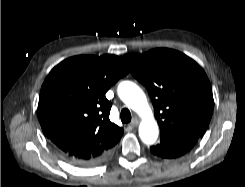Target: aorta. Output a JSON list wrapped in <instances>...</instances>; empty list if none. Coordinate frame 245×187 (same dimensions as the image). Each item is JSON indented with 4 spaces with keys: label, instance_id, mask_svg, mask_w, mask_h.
I'll return each instance as SVG.
<instances>
[{
    "label": "aorta",
    "instance_id": "aorta-1",
    "mask_svg": "<svg viewBox=\"0 0 245 187\" xmlns=\"http://www.w3.org/2000/svg\"><path fill=\"white\" fill-rule=\"evenodd\" d=\"M120 99L137 112L142 121L139 126V136L145 144H153L158 138V125L153 117L144 92L135 83L123 81L118 86Z\"/></svg>",
    "mask_w": 245,
    "mask_h": 187
}]
</instances>
